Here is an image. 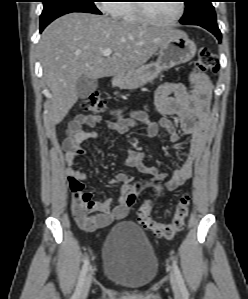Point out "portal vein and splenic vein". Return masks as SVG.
<instances>
[{"mask_svg": "<svg viewBox=\"0 0 248 299\" xmlns=\"http://www.w3.org/2000/svg\"><path fill=\"white\" fill-rule=\"evenodd\" d=\"M112 54V50L111 49H105L104 51H103V55L104 56H110Z\"/></svg>", "mask_w": 248, "mask_h": 299, "instance_id": "1", "label": "portal vein and splenic vein"}]
</instances>
